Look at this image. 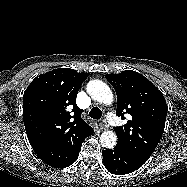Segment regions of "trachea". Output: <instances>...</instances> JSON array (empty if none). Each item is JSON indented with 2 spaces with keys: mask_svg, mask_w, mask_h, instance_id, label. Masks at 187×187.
<instances>
[{
  "mask_svg": "<svg viewBox=\"0 0 187 187\" xmlns=\"http://www.w3.org/2000/svg\"><path fill=\"white\" fill-rule=\"evenodd\" d=\"M102 116V111L98 107H93L89 112V117L99 120Z\"/></svg>",
  "mask_w": 187,
  "mask_h": 187,
  "instance_id": "3493384b",
  "label": "trachea"
}]
</instances>
